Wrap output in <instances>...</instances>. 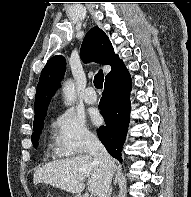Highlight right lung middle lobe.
Wrapping results in <instances>:
<instances>
[{"label": "right lung middle lobe", "instance_id": "obj_1", "mask_svg": "<svg viewBox=\"0 0 191 197\" xmlns=\"http://www.w3.org/2000/svg\"><path fill=\"white\" fill-rule=\"evenodd\" d=\"M43 128V121L38 123L37 125L33 126L34 133L31 136L32 144L36 148L38 145L39 133Z\"/></svg>", "mask_w": 191, "mask_h": 197}]
</instances>
